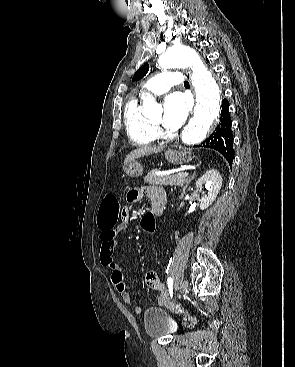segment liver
Masks as SVG:
<instances>
[{
  "instance_id": "obj_1",
  "label": "liver",
  "mask_w": 295,
  "mask_h": 367,
  "mask_svg": "<svg viewBox=\"0 0 295 367\" xmlns=\"http://www.w3.org/2000/svg\"><path fill=\"white\" fill-rule=\"evenodd\" d=\"M163 146H142L131 151L124 160V166L135 159L158 153L163 150Z\"/></svg>"
}]
</instances>
